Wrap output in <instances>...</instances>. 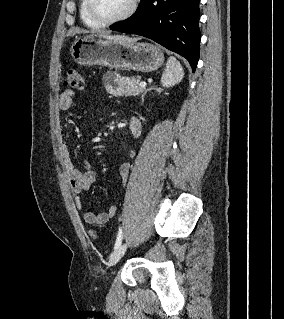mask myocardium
Listing matches in <instances>:
<instances>
[{
	"label": "myocardium",
	"instance_id": "myocardium-1",
	"mask_svg": "<svg viewBox=\"0 0 284 319\" xmlns=\"http://www.w3.org/2000/svg\"><path fill=\"white\" fill-rule=\"evenodd\" d=\"M137 4H138V0H130L129 6L127 7V9L119 16L111 18V19L103 18L97 13L95 8V0H87V9H88L89 15L94 21H96L97 23L103 26H109V25H113V24L125 21L129 17H131L136 10Z\"/></svg>",
	"mask_w": 284,
	"mask_h": 319
}]
</instances>
